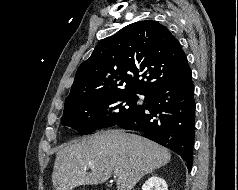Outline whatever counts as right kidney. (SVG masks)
I'll return each mask as SVG.
<instances>
[{"label":"right kidney","mask_w":238,"mask_h":190,"mask_svg":"<svg viewBox=\"0 0 238 190\" xmlns=\"http://www.w3.org/2000/svg\"><path fill=\"white\" fill-rule=\"evenodd\" d=\"M142 190H168L164 179L157 176L149 178L142 186Z\"/></svg>","instance_id":"1"}]
</instances>
